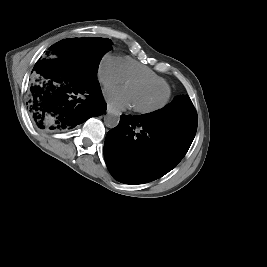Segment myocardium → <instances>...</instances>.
<instances>
[{
  "label": "myocardium",
  "mask_w": 267,
  "mask_h": 267,
  "mask_svg": "<svg viewBox=\"0 0 267 267\" xmlns=\"http://www.w3.org/2000/svg\"><path fill=\"white\" fill-rule=\"evenodd\" d=\"M133 82L149 83L153 86L163 87L167 90V94H166L165 98L160 103L153 105V106H150V107L133 106V110L135 112L142 113V114L153 113V112H156V111L164 108L168 104L170 97H171V89L169 86H165L163 83L152 80L150 78L140 77V76L128 78L126 80V85L129 83H133Z\"/></svg>",
  "instance_id": "1"
}]
</instances>
